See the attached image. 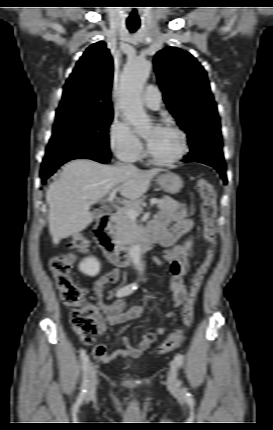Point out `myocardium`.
<instances>
[{
    "label": "myocardium",
    "mask_w": 273,
    "mask_h": 430,
    "mask_svg": "<svg viewBox=\"0 0 273 430\" xmlns=\"http://www.w3.org/2000/svg\"><path fill=\"white\" fill-rule=\"evenodd\" d=\"M161 128L171 130L179 136V138H180V149H179L178 153L174 157L169 158V159H159V158H156L151 153V151L148 147L146 150V156L151 163H153L155 165H159V166H169V165H173L175 163H178L188 153V150H189L188 137H187L185 131L183 129H181L176 124L166 122V123H163L161 125Z\"/></svg>",
    "instance_id": "obj_1"
}]
</instances>
